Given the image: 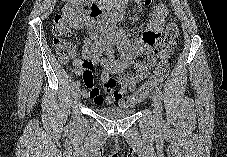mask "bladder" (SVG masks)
<instances>
[{
    "mask_svg": "<svg viewBox=\"0 0 227 157\" xmlns=\"http://www.w3.org/2000/svg\"><path fill=\"white\" fill-rule=\"evenodd\" d=\"M95 112L105 119L116 120L129 117L135 113L132 108H122L117 106L96 108Z\"/></svg>",
    "mask_w": 227,
    "mask_h": 157,
    "instance_id": "31cf9c89",
    "label": "bladder"
}]
</instances>
